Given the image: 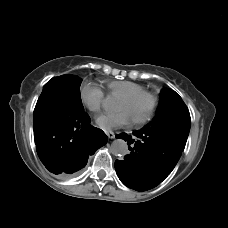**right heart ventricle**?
Instances as JSON below:
<instances>
[{
    "mask_svg": "<svg viewBox=\"0 0 228 228\" xmlns=\"http://www.w3.org/2000/svg\"><path fill=\"white\" fill-rule=\"evenodd\" d=\"M109 97L116 103H124L130 97L139 95L144 92V88L138 84L130 82H114L109 85Z\"/></svg>",
    "mask_w": 228,
    "mask_h": 228,
    "instance_id": "1",
    "label": "right heart ventricle"
}]
</instances>
